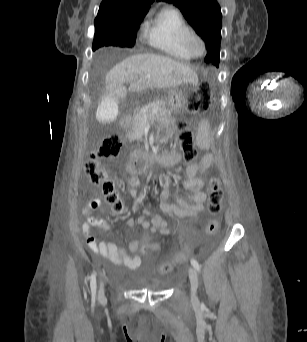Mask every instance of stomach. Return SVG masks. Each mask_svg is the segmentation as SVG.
Masks as SVG:
<instances>
[{
    "label": "stomach",
    "mask_w": 307,
    "mask_h": 342,
    "mask_svg": "<svg viewBox=\"0 0 307 342\" xmlns=\"http://www.w3.org/2000/svg\"><path fill=\"white\" fill-rule=\"evenodd\" d=\"M194 90L195 86L192 84H184L179 89L175 90L168 97L169 110L178 113L185 109L188 97Z\"/></svg>",
    "instance_id": "stomach-1"
}]
</instances>
